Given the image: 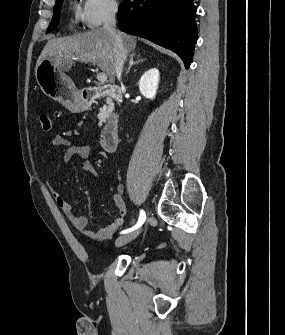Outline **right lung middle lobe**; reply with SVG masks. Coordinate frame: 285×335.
<instances>
[{
  "mask_svg": "<svg viewBox=\"0 0 285 335\" xmlns=\"http://www.w3.org/2000/svg\"><path fill=\"white\" fill-rule=\"evenodd\" d=\"M62 2H60L59 4H56L54 7V15L52 18V21L47 29V33H50L54 28H56L59 24V20H60V9L62 6Z\"/></svg>",
  "mask_w": 285,
  "mask_h": 335,
  "instance_id": "1",
  "label": "right lung middle lobe"
}]
</instances>
